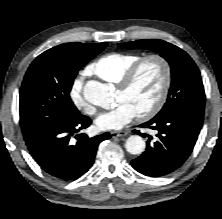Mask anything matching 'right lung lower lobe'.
<instances>
[{"mask_svg": "<svg viewBox=\"0 0 222 219\" xmlns=\"http://www.w3.org/2000/svg\"><path fill=\"white\" fill-rule=\"evenodd\" d=\"M92 123L87 116L67 114L34 135L24 138L28 150L39 166L59 180H75L93 165L98 145L111 136L108 132L89 138L81 129Z\"/></svg>", "mask_w": 222, "mask_h": 219, "instance_id": "right-lung-lower-lobe-1", "label": "right lung lower lobe"}]
</instances>
